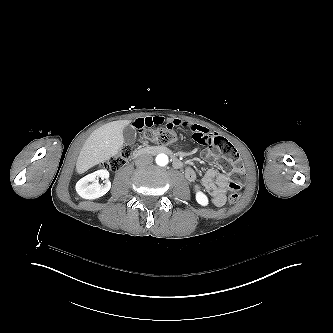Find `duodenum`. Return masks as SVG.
<instances>
[{
	"instance_id": "410a0bca",
	"label": "duodenum",
	"mask_w": 333,
	"mask_h": 333,
	"mask_svg": "<svg viewBox=\"0 0 333 333\" xmlns=\"http://www.w3.org/2000/svg\"><path fill=\"white\" fill-rule=\"evenodd\" d=\"M166 154L170 156L173 166L177 169L182 167L181 160L176 157L171 150H169L165 146H148V147H141L136 149L132 154V159H136L140 156L146 155V154Z\"/></svg>"
}]
</instances>
